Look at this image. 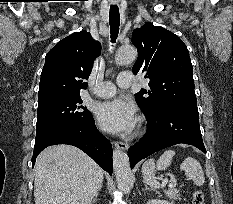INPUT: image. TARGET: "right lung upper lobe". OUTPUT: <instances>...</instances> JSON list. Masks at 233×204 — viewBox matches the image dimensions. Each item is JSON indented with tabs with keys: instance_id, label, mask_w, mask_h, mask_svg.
Returning a JSON list of instances; mask_svg holds the SVG:
<instances>
[{
	"instance_id": "right-lung-upper-lobe-1",
	"label": "right lung upper lobe",
	"mask_w": 233,
	"mask_h": 204,
	"mask_svg": "<svg viewBox=\"0 0 233 204\" xmlns=\"http://www.w3.org/2000/svg\"><path fill=\"white\" fill-rule=\"evenodd\" d=\"M100 51V44L87 31L75 32L59 41L45 57L38 101L80 95V90L87 88L85 80Z\"/></svg>"
}]
</instances>
